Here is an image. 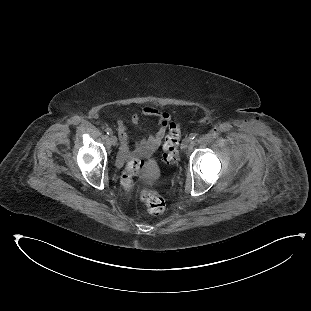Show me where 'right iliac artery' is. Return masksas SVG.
<instances>
[{
  "label": "right iliac artery",
  "instance_id": "right-iliac-artery-1",
  "mask_svg": "<svg viewBox=\"0 0 311 311\" xmlns=\"http://www.w3.org/2000/svg\"><path fill=\"white\" fill-rule=\"evenodd\" d=\"M105 131H106V133H107L108 135H112V134H113L112 129L109 128V127H107V128L105 129Z\"/></svg>",
  "mask_w": 311,
  "mask_h": 311
}]
</instances>
